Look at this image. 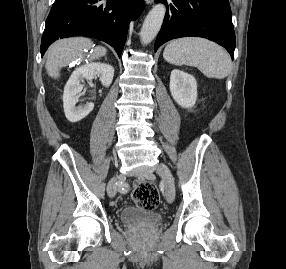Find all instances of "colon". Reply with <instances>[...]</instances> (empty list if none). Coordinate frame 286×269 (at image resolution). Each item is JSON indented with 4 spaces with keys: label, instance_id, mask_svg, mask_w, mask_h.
<instances>
[{
    "label": "colon",
    "instance_id": "5ec220e1",
    "mask_svg": "<svg viewBox=\"0 0 286 269\" xmlns=\"http://www.w3.org/2000/svg\"><path fill=\"white\" fill-rule=\"evenodd\" d=\"M133 200L140 208L146 210H153L157 208L160 203V197L156 187L148 181L137 183Z\"/></svg>",
    "mask_w": 286,
    "mask_h": 269
}]
</instances>
